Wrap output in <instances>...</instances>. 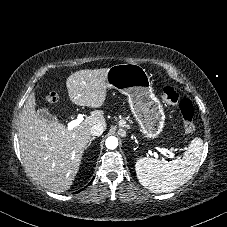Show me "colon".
<instances>
[{
  "instance_id": "1",
  "label": "colon",
  "mask_w": 227,
  "mask_h": 227,
  "mask_svg": "<svg viewBox=\"0 0 227 227\" xmlns=\"http://www.w3.org/2000/svg\"><path fill=\"white\" fill-rule=\"evenodd\" d=\"M57 93L52 92L48 96L49 101L55 103L57 101ZM161 97L164 103L168 105H177L179 113L182 119L183 128L186 132H192L194 130L193 123V105L188 99H185L179 95L177 90L172 86H165L161 90Z\"/></svg>"
}]
</instances>
